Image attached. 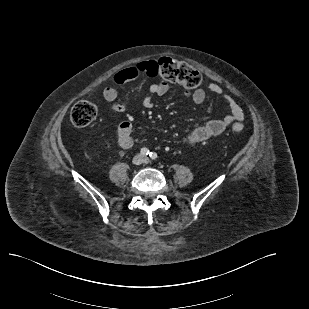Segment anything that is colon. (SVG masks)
Segmentation results:
<instances>
[{
    "label": "colon",
    "mask_w": 309,
    "mask_h": 309,
    "mask_svg": "<svg viewBox=\"0 0 309 309\" xmlns=\"http://www.w3.org/2000/svg\"><path fill=\"white\" fill-rule=\"evenodd\" d=\"M157 74L166 81L179 84L186 89H194L201 83L200 72L189 64L169 57L151 61ZM97 116L96 106L89 101H79L71 109L70 120L77 127L90 125ZM243 124L236 122L232 125L234 132H241Z\"/></svg>",
    "instance_id": "colon-1"
}]
</instances>
